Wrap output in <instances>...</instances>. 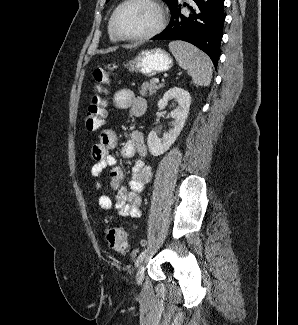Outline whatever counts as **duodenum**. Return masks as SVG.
I'll return each instance as SVG.
<instances>
[{
	"instance_id": "410a0bca",
	"label": "duodenum",
	"mask_w": 298,
	"mask_h": 325,
	"mask_svg": "<svg viewBox=\"0 0 298 325\" xmlns=\"http://www.w3.org/2000/svg\"><path fill=\"white\" fill-rule=\"evenodd\" d=\"M145 110H146L145 107L140 108L139 111H138V114L142 115L145 112Z\"/></svg>"
}]
</instances>
